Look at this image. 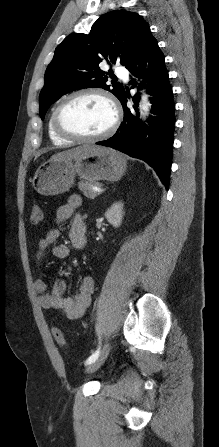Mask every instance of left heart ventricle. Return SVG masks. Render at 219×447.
<instances>
[{"mask_svg":"<svg viewBox=\"0 0 219 447\" xmlns=\"http://www.w3.org/2000/svg\"><path fill=\"white\" fill-rule=\"evenodd\" d=\"M112 119L113 112L110 105L96 95L75 98L61 113L62 125L82 135H96L105 131Z\"/></svg>","mask_w":219,"mask_h":447,"instance_id":"b2bd125f","label":"left heart ventricle"}]
</instances>
